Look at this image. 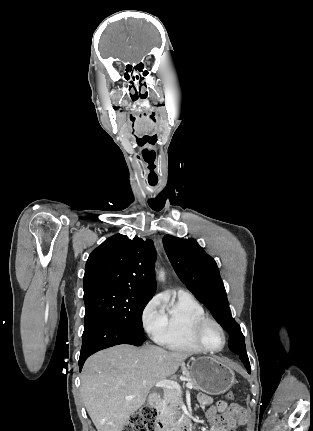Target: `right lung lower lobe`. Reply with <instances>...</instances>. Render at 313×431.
Returning a JSON list of instances; mask_svg holds the SVG:
<instances>
[{"label": "right lung lower lobe", "mask_w": 313, "mask_h": 431, "mask_svg": "<svg viewBox=\"0 0 313 431\" xmlns=\"http://www.w3.org/2000/svg\"><path fill=\"white\" fill-rule=\"evenodd\" d=\"M145 340L144 335L137 334L116 322L97 320L84 328L79 358L80 371L85 360L97 351L118 344L139 346Z\"/></svg>", "instance_id": "98d812e1"}]
</instances>
